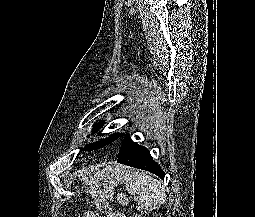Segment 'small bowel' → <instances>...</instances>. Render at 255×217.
<instances>
[{
	"mask_svg": "<svg viewBox=\"0 0 255 217\" xmlns=\"http://www.w3.org/2000/svg\"><path fill=\"white\" fill-rule=\"evenodd\" d=\"M105 203H106V208L104 209V213L109 214L110 213L109 207L107 205V202H105ZM117 216L119 217V215H117ZM82 217H95V215L93 212L87 211L82 214Z\"/></svg>",
	"mask_w": 255,
	"mask_h": 217,
	"instance_id": "small-bowel-1",
	"label": "small bowel"
}]
</instances>
